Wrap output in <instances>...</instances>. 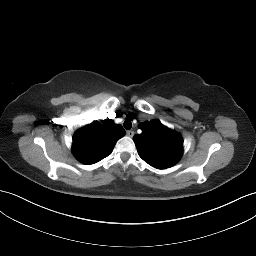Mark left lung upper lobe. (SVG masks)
<instances>
[{"instance_id": "obj_1", "label": "left lung upper lobe", "mask_w": 256, "mask_h": 256, "mask_svg": "<svg viewBox=\"0 0 256 256\" xmlns=\"http://www.w3.org/2000/svg\"><path fill=\"white\" fill-rule=\"evenodd\" d=\"M142 133L136 134L133 140L140 157L149 165L165 169L176 164L183 151L181 136L153 120L139 125Z\"/></svg>"}]
</instances>
